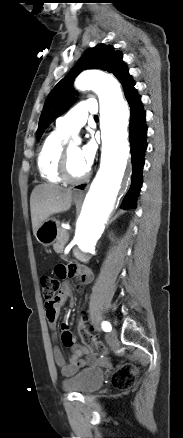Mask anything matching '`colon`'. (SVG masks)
I'll use <instances>...</instances> for the list:
<instances>
[{
  "mask_svg": "<svg viewBox=\"0 0 183 438\" xmlns=\"http://www.w3.org/2000/svg\"><path fill=\"white\" fill-rule=\"evenodd\" d=\"M41 286L43 296L47 301H51L56 297L60 289V283L57 279L51 276L41 278ZM78 333L82 342L95 354L104 355L108 353L107 347L94 339L88 327V313L81 310L78 320ZM137 369L132 364H123L115 371L112 377L113 386L120 391L131 389L136 382Z\"/></svg>",
  "mask_w": 183,
  "mask_h": 438,
  "instance_id": "colon-1",
  "label": "colon"
}]
</instances>
